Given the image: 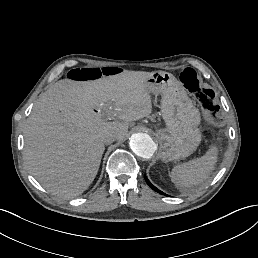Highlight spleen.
<instances>
[{
    "label": "spleen",
    "instance_id": "obj_1",
    "mask_svg": "<svg viewBox=\"0 0 258 258\" xmlns=\"http://www.w3.org/2000/svg\"><path fill=\"white\" fill-rule=\"evenodd\" d=\"M217 158L218 149L211 146L203 156L177 164L171 170V180L183 192H191L210 177Z\"/></svg>",
    "mask_w": 258,
    "mask_h": 258
}]
</instances>
